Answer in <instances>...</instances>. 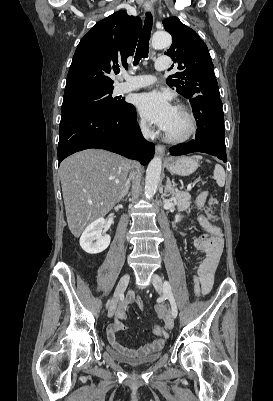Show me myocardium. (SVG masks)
Returning a JSON list of instances; mask_svg holds the SVG:
<instances>
[{
	"mask_svg": "<svg viewBox=\"0 0 273 401\" xmlns=\"http://www.w3.org/2000/svg\"><path fill=\"white\" fill-rule=\"evenodd\" d=\"M175 109L179 110L181 113H183L189 120L190 122V129L189 131L182 136H173L168 134L167 132L164 131V138L167 142L170 143H183L186 141L191 140L197 133L198 131V120L193 112H191L187 107L184 105H177Z\"/></svg>",
	"mask_w": 273,
	"mask_h": 401,
	"instance_id": "1",
	"label": "myocardium"
}]
</instances>
